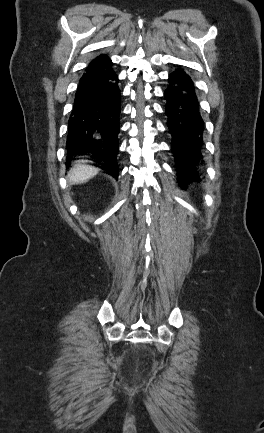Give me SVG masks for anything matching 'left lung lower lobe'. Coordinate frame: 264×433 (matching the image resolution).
<instances>
[{"instance_id": "left-lung-lower-lobe-1", "label": "left lung lower lobe", "mask_w": 264, "mask_h": 433, "mask_svg": "<svg viewBox=\"0 0 264 433\" xmlns=\"http://www.w3.org/2000/svg\"><path fill=\"white\" fill-rule=\"evenodd\" d=\"M168 81L165 113L169 117L171 149L176 160L178 181L183 187L198 176L204 122L191 77L178 68L169 75Z\"/></svg>"}]
</instances>
